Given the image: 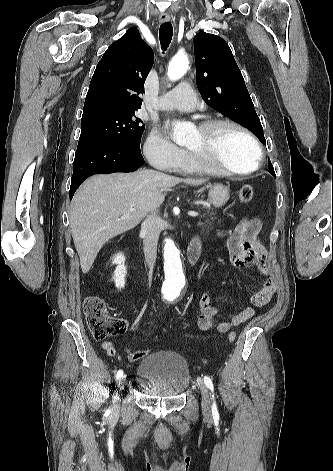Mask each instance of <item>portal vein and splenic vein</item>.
Masks as SVG:
<instances>
[{"mask_svg": "<svg viewBox=\"0 0 333 471\" xmlns=\"http://www.w3.org/2000/svg\"><path fill=\"white\" fill-rule=\"evenodd\" d=\"M134 209H130L129 212H133ZM188 215L191 216V217H197L199 216L198 212H195V211H189L188 212Z\"/></svg>", "mask_w": 333, "mask_h": 471, "instance_id": "portal-vein-and-splenic-vein-1", "label": "portal vein and splenic vein"}]
</instances>
